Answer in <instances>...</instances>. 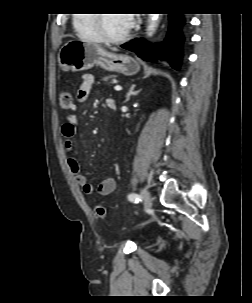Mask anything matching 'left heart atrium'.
Instances as JSON below:
<instances>
[{"label": "left heart atrium", "instance_id": "obj_1", "mask_svg": "<svg viewBox=\"0 0 252 303\" xmlns=\"http://www.w3.org/2000/svg\"><path fill=\"white\" fill-rule=\"evenodd\" d=\"M133 19H134V17L132 15L127 16V20H128L129 25H131L133 23Z\"/></svg>", "mask_w": 252, "mask_h": 303}]
</instances>
